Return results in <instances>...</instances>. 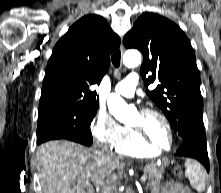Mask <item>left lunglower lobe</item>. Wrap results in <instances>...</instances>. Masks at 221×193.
Wrapping results in <instances>:
<instances>
[{
	"instance_id": "1",
	"label": "left lung lower lobe",
	"mask_w": 221,
	"mask_h": 193,
	"mask_svg": "<svg viewBox=\"0 0 221 193\" xmlns=\"http://www.w3.org/2000/svg\"><path fill=\"white\" fill-rule=\"evenodd\" d=\"M176 155L198 160L209 171L206 134L204 129H198L183 137Z\"/></svg>"
}]
</instances>
